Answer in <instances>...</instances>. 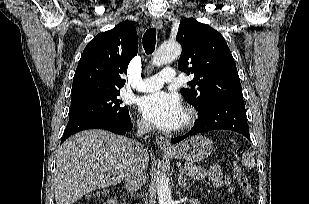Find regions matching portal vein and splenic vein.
Masks as SVG:
<instances>
[{
    "mask_svg": "<svg viewBox=\"0 0 309 204\" xmlns=\"http://www.w3.org/2000/svg\"><path fill=\"white\" fill-rule=\"evenodd\" d=\"M185 171V168H181L180 172L183 173Z\"/></svg>",
    "mask_w": 309,
    "mask_h": 204,
    "instance_id": "obj_1",
    "label": "portal vein and splenic vein"
}]
</instances>
